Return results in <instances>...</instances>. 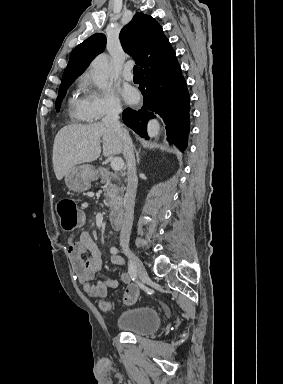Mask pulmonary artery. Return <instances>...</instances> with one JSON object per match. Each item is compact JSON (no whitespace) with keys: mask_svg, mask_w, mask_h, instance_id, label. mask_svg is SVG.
Returning <instances> with one entry per match:
<instances>
[{"mask_svg":"<svg viewBox=\"0 0 283 384\" xmlns=\"http://www.w3.org/2000/svg\"><path fill=\"white\" fill-rule=\"evenodd\" d=\"M133 64L132 62H127L124 64L123 69L121 71V75L123 79L127 81L133 80V72H132Z\"/></svg>","mask_w":283,"mask_h":384,"instance_id":"e3ab8cb5","label":"pulmonary artery"}]
</instances>
